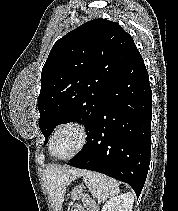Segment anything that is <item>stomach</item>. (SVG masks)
I'll return each instance as SVG.
<instances>
[{"label":"stomach","instance_id":"1","mask_svg":"<svg viewBox=\"0 0 178 211\" xmlns=\"http://www.w3.org/2000/svg\"><path fill=\"white\" fill-rule=\"evenodd\" d=\"M82 191H83V186H76L75 188H73L71 192V199L74 201L80 199Z\"/></svg>","mask_w":178,"mask_h":211}]
</instances>
